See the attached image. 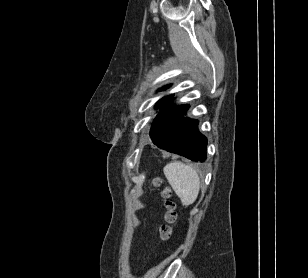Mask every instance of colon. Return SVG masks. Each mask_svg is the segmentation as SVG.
<instances>
[{
  "label": "colon",
  "mask_w": 308,
  "mask_h": 278,
  "mask_svg": "<svg viewBox=\"0 0 308 278\" xmlns=\"http://www.w3.org/2000/svg\"><path fill=\"white\" fill-rule=\"evenodd\" d=\"M154 183L157 186H161L163 181L161 178L157 177L154 179ZM162 196L166 200V208L167 212L165 215L166 224L163 225L160 229V234L163 239H168L172 234V227L171 225L177 221V212H176V205L171 200V190L168 187H164L162 191Z\"/></svg>",
  "instance_id": "colon-1"
}]
</instances>
